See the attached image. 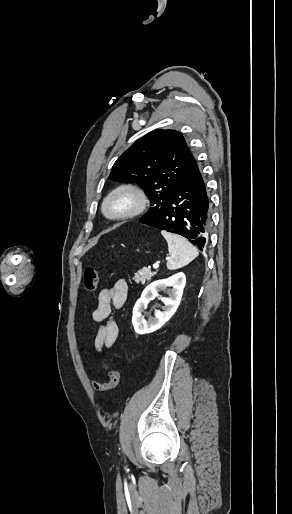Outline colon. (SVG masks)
<instances>
[{
  "label": "colon",
  "instance_id": "5ec220e1",
  "mask_svg": "<svg viewBox=\"0 0 292 514\" xmlns=\"http://www.w3.org/2000/svg\"><path fill=\"white\" fill-rule=\"evenodd\" d=\"M100 278V268L91 266L85 269L84 272V288L89 293H95L98 290ZM103 368L106 370L108 381L100 384L96 383L95 388L97 391H111L119 385L120 375L117 369L113 368L109 361H103Z\"/></svg>",
  "mask_w": 292,
  "mask_h": 514
}]
</instances>
